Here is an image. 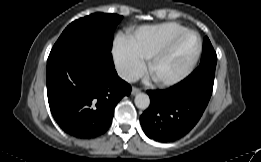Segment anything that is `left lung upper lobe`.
<instances>
[{
	"mask_svg": "<svg viewBox=\"0 0 261 162\" xmlns=\"http://www.w3.org/2000/svg\"><path fill=\"white\" fill-rule=\"evenodd\" d=\"M216 62H217L216 52L214 51L210 40L206 37L204 39L203 53H202L200 65H203L205 63H215L216 64Z\"/></svg>",
	"mask_w": 261,
	"mask_h": 162,
	"instance_id": "5c2ea615",
	"label": "left lung upper lobe"
}]
</instances>
